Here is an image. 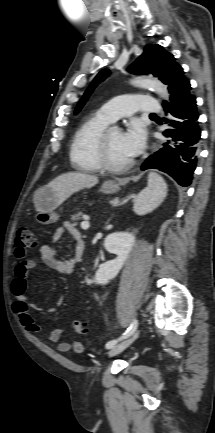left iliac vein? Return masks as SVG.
I'll list each match as a JSON object with an SVG mask.
<instances>
[{
    "instance_id": "left-iliac-vein-1",
    "label": "left iliac vein",
    "mask_w": 215,
    "mask_h": 433,
    "mask_svg": "<svg viewBox=\"0 0 215 433\" xmlns=\"http://www.w3.org/2000/svg\"><path fill=\"white\" fill-rule=\"evenodd\" d=\"M139 336V330H135L126 340L115 345L108 353L109 357L116 356L128 348Z\"/></svg>"
}]
</instances>
